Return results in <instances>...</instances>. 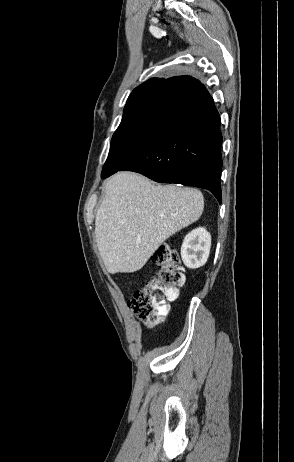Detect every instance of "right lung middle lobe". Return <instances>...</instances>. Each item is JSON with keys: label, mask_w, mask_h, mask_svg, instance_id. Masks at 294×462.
Masks as SVG:
<instances>
[{"label": "right lung middle lobe", "mask_w": 294, "mask_h": 462, "mask_svg": "<svg viewBox=\"0 0 294 462\" xmlns=\"http://www.w3.org/2000/svg\"><path fill=\"white\" fill-rule=\"evenodd\" d=\"M187 103L182 96L169 94L124 109L101 176L117 172L143 145L163 132Z\"/></svg>", "instance_id": "dd1d6c3e"}]
</instances>
